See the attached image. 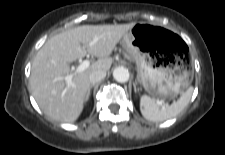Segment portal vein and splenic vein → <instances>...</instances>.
Masks as SVG:
<instances>
[{
    "label": "portal vein and splenic vein",
    "mask_w": 225,
    "mask_h": 155,
    "mask_svg": "<svg viewBox=\"0 0 225 155\" xmlns=\"http://www.w3.org/2000/svg\"><path fill=\"white\" fill-rule=\"evenodd\" d=\"M96 40L92 41L90 43V45H92ZM83 48H85V46H83ZM90 65V61L89 60H84L76 69L73 73L68 74L67 76L64 77L65 81L68 84H71L72 82V78L74 77V75H76L77 73L83 72L85 69H87ZM157 103L159 106L161 107H166V104L164 103V101L162 100H157Z\"/></svg>",
    "instance_id": "portal-vein-and-splenic-vein-1"
}]
</instances>
